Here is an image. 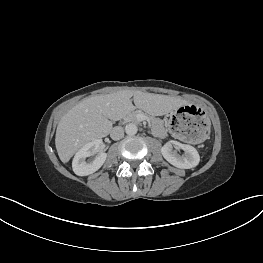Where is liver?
Returning a JSON list of instances; mask_svg holds the SVG:
<instances>
[{"mask_svg":"<svg viewBox=\"0 0 263 263\" xmlns=\"http://www.w3.org/2000/svg\"><path fill=\"white\" fill-rule=\"evenodd\" d=\"M184 104L185 101L178 97L132 90L85 98L64 114L58 123L55 136L58 156L67 163L79 148L107 136L112 130L110 120H119L135 108L161 116Z\"/></svg>","mask_w":263,"mask_h":263,"instance_id":"liver-1","label":"liver"}]
</instances>
